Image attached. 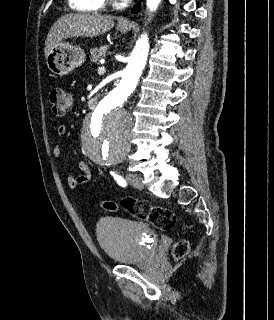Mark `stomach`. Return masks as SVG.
I'll list each match as a JSON object with an SVG mask.
<instances>
[{"mask_svg": "<svg viewBox=\"0 0 274 320\" xmlns=\"http://www.w3.org/2000/svg\"><path fill=\"white\" fill-rule=\"evenodd\" d=\"M131 28L133 26H118L121 34H127ZM83 62H85L83 50L66 42L52 48L46 58V64L54 76H67L72 70L82 66Z\"/></svg>", "mask_w": 274, "mask_h": 320, "instance_id": "obj_1", "label": "stomach"}]
</instances>
